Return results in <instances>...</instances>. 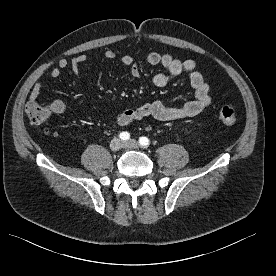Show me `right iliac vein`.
<instances>
[{"label": "right iliac vein", "instance_id": "63e3f726", "mask_svg": "<svg viewBox=\"0 0 276 276\" xmlns=\"http://www.w3.org/2000/svg\"><path fill=\"white\" fill-rule=\"evenodd\" d=\"M123 147V142L119 138H113L110 142L112 151H119Z\"/></svg>", "mask_w": 276, "mask_h": 276}]
</instances>
